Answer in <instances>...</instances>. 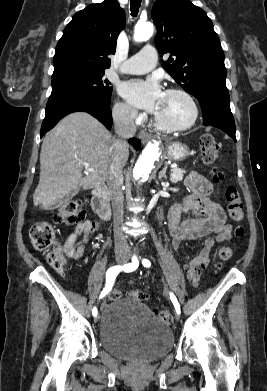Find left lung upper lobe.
Wrapping results in <instances>:
<instances>
[{"label":"left lung upper lobe","instance_id":"left-lung-upper-lobe-1","mask_svg":"<svg viewBox=\"0 0 267 391\" xmlns=\"http://www.w3.org/2000/svg\"><path fill=\"white\" fill-rule=\"evenodd\" d=\"M152 19L160 55L170 53L162 67L186 92L197 98L228 94L224 53L204 10L189 0H158Z\"/></svg>","mask_w":267,"mask_h":391}]
</instances>
